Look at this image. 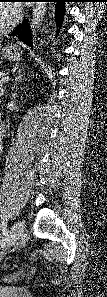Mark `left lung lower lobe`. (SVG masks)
<instances>
[{
  "instance_id": "1",
  "label": "left lung lower lobe",
  "mask_w": 107,
  "mask_h": 297,
  "mask_svg": "<svg viewBox=\"0 0 107 297\" xmlns=\"http://www.w3.org/2000/svg\"><path fill=\"white\" fill-rule=\"evenodd\" d=\"M35 1H47V2H57L56 4V22L62 23V15L64 9V3L70 2V0H35ZM11 36H17L22 42L31 45L30 31L27 21L19 25L15 31H13Z\"/></svg>"
}]
</instances>
